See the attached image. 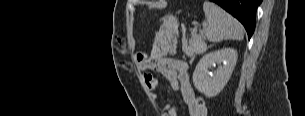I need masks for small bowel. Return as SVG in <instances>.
Returning a JSON list of instances; mask_svg holds the SVG:
<instances>
[{"instance_id": "obj_1", "label": "small bowel", "mask_w": 305, "mask_h": 116, "mask_svg": "<svg viewBox=\"0 0 305 116\" xmlns=\"http://www.w3.org/2000/svg\"><path fill=\"white\" fill-rule=\"evenodd\" d=\"M168 46L157 40L149 54L137 53L136 62L144 71H156L168 82L172 90H180L189 116H207L204 100L195 93L189 76V66L186 62L167 56ZM145 82L150 91H156L159 81L151 74H145ZM165 113L162 116H177V111L171 103H165Z\"/></svg>"}]
</instances>
